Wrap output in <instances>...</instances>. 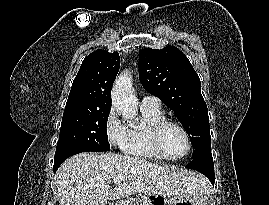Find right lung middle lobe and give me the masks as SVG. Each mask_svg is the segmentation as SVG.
<instances>
[{
  "mask_svg": "<svg viewBox=\"0 0 269 205\" xmlns=\"http://www.w3.org/2000/svg\"><path fill=\"white\" fill-rule=\"evenodd\" d=\"M109 112L110 109L65 107L56 149L80 146L110 150L106 130Z\"/></svg>",
  "mask_w": 269,
  "mask_h": 205,
  "instance_id": "dd1d6c3e",
  "label": "right lung middle lobe"
}]
</instances>
